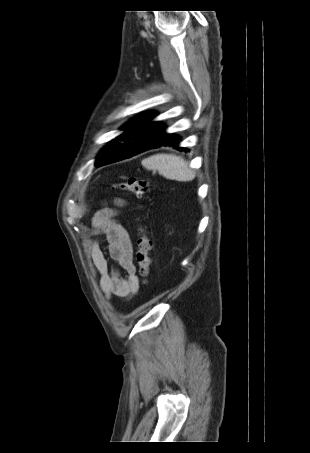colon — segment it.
<instances>
[{
    "label": "colon",
    "mask_w": 310,
    "mask_h": 453,
    "mask_svg": "<svg viewBox=\"0 0 310 453\" xmlns=\"http://www.w3.org/2000/svg\"><path fill=\"white\" fill-rule=\"evenodd\" d=\"M115 188L132 193L136 196H143L150 188L151 184L148 180L142 178H129L126 181L115 185ZM138 249L136 252V262L140 276L146 280L150 275L151 258L150 251L152 249V240L147 235L143 227L139 228V238L137 243Z\"/></svg>",
    "instance_id": "obj_1"
}]
</instances>
